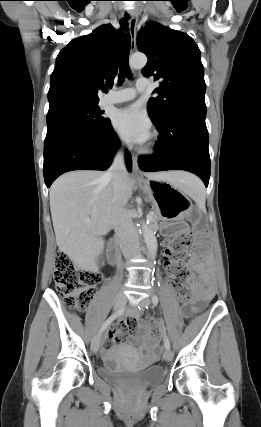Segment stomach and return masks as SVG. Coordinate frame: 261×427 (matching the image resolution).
Returning <instances> with one entry per match:
<instances>
[{"instance_id":"obj_1","label":"stomach","mask_w":261,"mask_h":427,"mask_svg":"<svg viewBox=\"0 0 261 427\" xmlns=\"http://www.w3.org/2000/svg\"><path fill=\"white\" fill-rule=\"evenodd\" d=\"M139 185L163 221L182 219L192 208L186 192L172 183L159 180H142Z\"/></svg>"}]
</instances>
